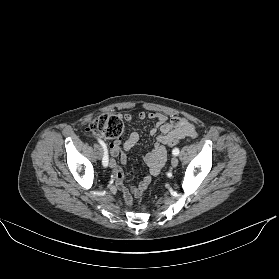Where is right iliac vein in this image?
Returning a JSON list of instances; mask_svg holds the SVG:
<instances>
[{"label":"right iliac vein","instance_id":"obj_1","mask_svg":"<svg viewBox=\"0 0 279 279\" xmlns=\"http://www.w3.org/2000/svg\"><path fill=\"white\" fill-rule=\"evenodd\" d=\"M115 165H116L115 160H114V159H110V161H109V166H110L111 168H113Z\"/></svg>","mask_w":279,"mask_h":279}]
</instances>
